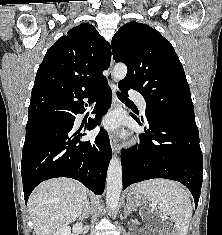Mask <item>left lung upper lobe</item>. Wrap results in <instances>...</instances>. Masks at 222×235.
Returning <instances> with one entry per match:
<instances>
[{
  "instance_id": "1",
  "label": "left lung upper lobe",
  "mask_w": 222,
  "mask_h": 235,
  "mask_svg": "<svg viewBox=\"0 0 222 235\" xmlns=\"http://www.w3.org/2000/svg\"><path fill=\"white\" fill-rule=\"evenodd\" d=\"M116 62L128 67L119 82L146 100V116L167 115L195 123L194 107L183 66L170 42L150 26L135 21L112 39Z\"/></svg>"
}]
</instances>
